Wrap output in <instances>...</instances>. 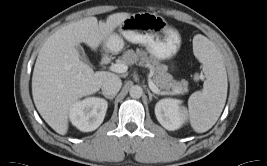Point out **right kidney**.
Listing matches in <instances>:
<instances>
[{
    "label": "right kidney",
    "mask_w": 267,
    "mask_h": 166,
    "mask_svg": "<svg viewBox=\"0 0 267 166\" xmlns=\"http://www.w3.org/2000/svg\"><path fill=\"white\" fill-rule=\"evenodd\" d=\"M108 104L104 99L89 97L76 102L70 110V120L80 131L96 130L104 120Z\"/></svg>",
    "instance_id": "obj_1"
}]
</instances>
